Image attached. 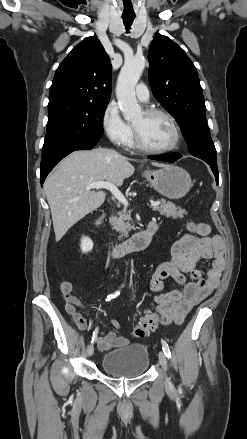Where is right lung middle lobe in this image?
Returning a JSON list of instances; mask_svg holds the SVG:
<instances>
[{
  "mask_svg": "<svg viewBox=\"0 0 247 439\" xmlns=\"http://www.w3.org/2000/svg\"><path fill=\"white\" fill-rule=\"evenodd\" d=\"M108 103L61 101L48 105L47 132L42 154L60 148L98 142Z\"/></svg>",
  "mask_w": 247,
  "mask_h": 439,
  "instance_id": "obj_1",
  "label": "right lung middle lobe"
}]
</instances>
